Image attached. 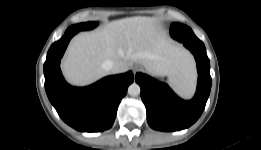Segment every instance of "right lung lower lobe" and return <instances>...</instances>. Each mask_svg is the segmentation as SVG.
I'll return each instance as SVG.
<instances>
[{
    "label": "right lung lower lobe",
    "instance_id": "98d812e1",
    "mask_svg": "<svg viewBox=\"0 0 261 150\" xmlns=\"http://www.w3.org/2000/svg\"><path fill=\"white\" fill-rule=\"evenodd\" d=\"M77 29H67L47 53L44 63L45 90L59 116L82 132H100L111 128L118 105L134 80L132 72L108 76L95 84L75 88L64 80L60 59Z\"/></svg>",
    "mask_w": 261,
    "mask_h": 150
}]
</instances>
